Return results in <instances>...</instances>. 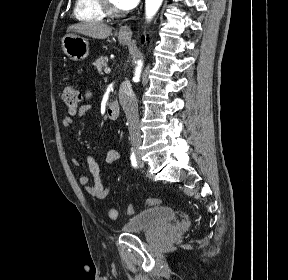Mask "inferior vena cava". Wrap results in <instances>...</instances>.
Instances as JSON below:
<instances>
[{
    "label": "inferior vena cava",
    "instance_id": "obj_1",
    "mask_svg": "<svg viewBox=\"0 0 288 280\" xmlns=\"http://www.w3.org/2000/svg\"><path fill=\"white\" fill-rule=\"evenodd\" d=\"M119 90L118 101L121 104V110H125L127 126H129V139L134 143V147H139V143H143L144 140L138 113L139 105H135L137 101L136 92H131L127 78L120 81ZM131 156L141 157V151L136 150L131 153Z\"/></svg>",
    "mask_w": 288,
    "mask_h": 280
}]
</instances>
